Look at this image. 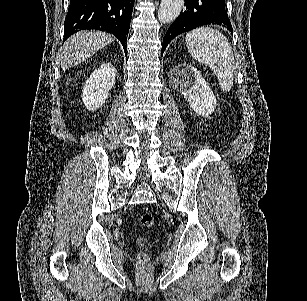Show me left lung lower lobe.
Here are the masks:
<instances>
[{
	"mask_svg": "<svg viewBox=\"0 0 307 301\" xmlns=\"http://www.w3.org/2000/svg\"><path fill=\"white\" fill-rule=\"evenodd\" d=\"M185 9L166 32L161 55L177 35L206 24L224 25L233 33L225 10V0H185Z\"/></svg>",
	"mask_w": 307,
	"mask_h": 301,
	"instance_id": "left-lung-lower-lobe-1",
	"label": "left lung lower lobe"
}]
</instances>
